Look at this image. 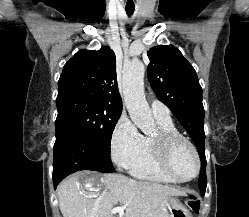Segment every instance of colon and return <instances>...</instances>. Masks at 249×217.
<instances>
[{"instance_id":"obj_1","label":"colon","mask_w":249,"mask_h":217,"mask_svg":"<svg viewBox=\"0 0 249 217\" xmlns=\"http://www.w3.org/2000/svg\"><path fill=\"white\" fill-rule=\"evenodd\" d=\"M185 205L192 212H198L200 210V200L194 194H191L187 197V199L185 200Z\"/></svg>"}]
</instances>
